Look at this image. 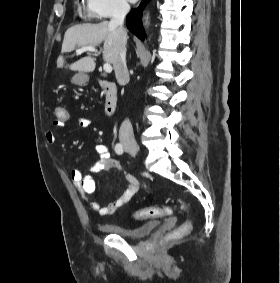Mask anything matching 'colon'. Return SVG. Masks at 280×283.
<instances>
[{"label": "colon", "instance_id": "colon-1", "mask_svg": "<svg viewBox=\"0 0 280 283\" xmlns=\"http://www.w3.org/2000/svg\"><path fill=\"white\" fill-rule=\"evenodd\" d=\"M64 105H58L54 108V118L56 122H68L69 119H72V114L70 111H67V107H63ZM181 209L187 210V206L179 202ZM171 213V208L169 206L166 207H147L143 209H139L135 212V218L146 219V218H154L166 216ZM192 229V223L190 220L184 221L172 234L177 237H182L187 235Z\"/></svg>", "mask_w": 280, "mask_h": 283}]
</instances>
